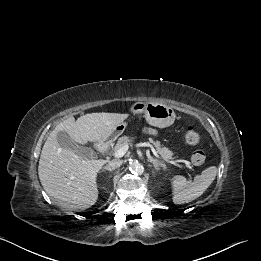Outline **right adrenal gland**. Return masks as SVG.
<instances>
[{"instance_id":"obj_1","label":"right adrenal gland","mask_w":261,"mask_h":261,"mask_svg":"<svg viewBox=\"0 0 261 261\" xmlns=\"http://www.w3.org/2000/svg\"><path fill=\"white\" fill-rule=\"evenodd\" d=\"M104 170H108V171L112 172L114 169L110 168L109 166H105V167H103V171Z\"/></svg>"}]
</instances>
